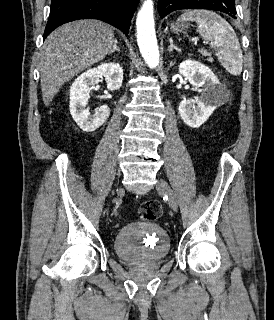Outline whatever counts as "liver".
<instances>
[{
    "mask_svg": "<svg viewBox=\"0 0 274 320\" xmlns=\"http://www.w3.org/2000/svg\"><path fill=\"white\" fill-rule=\"evenodd\" d=\"M116 42L112 28L100 20H77L54 30L43 44L39 62L45 106L65 82L111 54Z\"/></svg>",
    "mask_w": 274,
    "mask_h": 320,
    "instance_id": "liver-1",
    "label": "liver"
}]
</instances>
